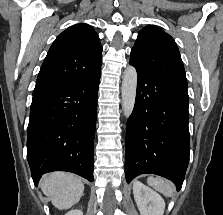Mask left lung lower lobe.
<instances>
[{
  "label": "left lung lower lobe",
  "instance_id": "0a47b994",
  "mask_svg": "<svg viewBox=\"0 0 223 215\" xmlns=\"http://www.w3.org/2000/svg\"><path fill=\"white\" fill-rule=\"evenodd\" d=\"M137 74L135 106L126 128V181L152 173L172 180L179 191L190 150L187 89Z\"/></svg>",
  "mask_w": 223,
  "mask_h": 215
}]
</instances>
